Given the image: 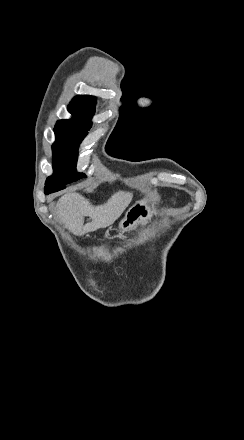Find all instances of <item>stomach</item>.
Listing matches in <instances>:
<instances>
[{
  "instance_id": "1",
  "label": "stomach",
  "mask_w": 244,
  "mask_h": 440,
  "mask_svg": "<svg viewBox=\"0 0 244 440\" xmlns=\"http://www.w3.org/2000/svg\"><path fill=\"white\" fill-rule=\"evenodd\" d=\"M160 196L158 194H151L145 200H138L134 206L129 208L125 214V218L121 220L118 228L122 234L125 232H133L137 230L138 226L147 224L155 214V206L159 204Z\"/></svg>"
}]
</instances>
